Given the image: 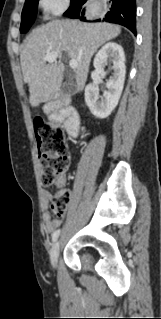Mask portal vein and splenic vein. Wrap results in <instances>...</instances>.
I'll list each match as a JSON object with an SVG mask.
<instances>
[{
	"label": "portal vein and splenic vein",
	"mask_w": 161,
	"mask_h": 319,
	"mask_svg": "<svg viewBox=\"0 0 161 319\" xmlns=\"http://www.w3.org/2000/svg\"><path fill=\"white\" fill-rule=\"evenodd\" d=\"M61 56L59 55L58 52L55 51H51L48 52L45 56H44V60L49 62V63H53L57 60V58H60ZM69 65L72 69H76L78 67V61L75 59L70 60Z\"/></svg>",
	"instance_id": "1"
}]
</instances>
